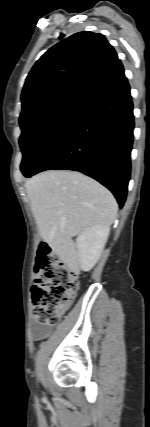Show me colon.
I'll return each mask as SVG.
<instances>
[{"label": "colon", "mask_w": 150, "mask_h": 427, "mask_svg": "<svg viewBox=\"0 0 150 427\" xmlns=\"http://www.w3.org/2000/svg\"><path fill=\"white\" fill-rule=\"evenodd\" d=\"M36 272L32 317L40 325L55 326L73 302L78 276L46 243L39 245Z\"/></svg>", "instance_id": "obj_1"}]
</instances>
